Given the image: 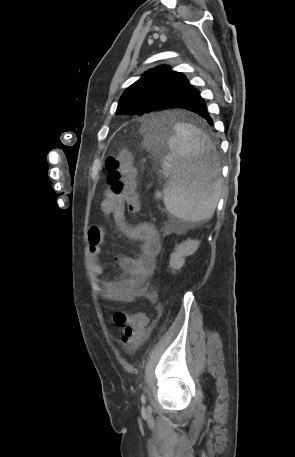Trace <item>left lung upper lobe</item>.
<instances>
[{
	"instance_id": "1",
	"label": "left lung upper lobe",
	"mask_w": 295,
	"mask_h": 457,
	"mask_svg": "<svg viewBox=\"0 0 295 457\" xmlns=\"http://www.w3.org/2000/svg\"><path fill=\"white\" fill-rule=\"evenodd\" d=\"M186 87H190V83L182 73L159 66L147 71L124 91L116 113L143 115L152 112L161 100Z\"/></svg>"
}]
</instances>
